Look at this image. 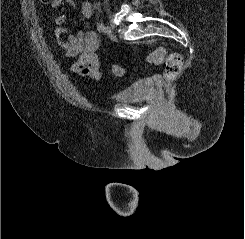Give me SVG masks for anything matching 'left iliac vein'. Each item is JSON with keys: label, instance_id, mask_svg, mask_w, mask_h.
Returning <instances> with one entry per match:
<instances>
[{"label": "left iliac vein", "instance_id": "obj_1", "mask_svg": "<svg viewBox=\"0 0 245 239\" xmlns=\"http://www.w3.org/2000/svg\"><path fill=\"white\" fill-rule=\"evenodd\" d=\"M105 33L108 37L112 38L113 37V27L110 25L106 26Z\"/></svg>", "mask_w": 245, "mask_h": 239}]
</instances>
